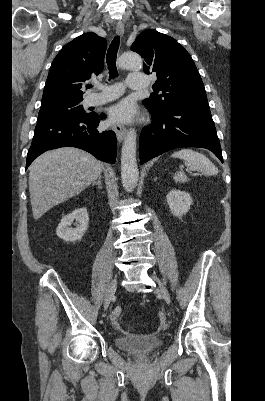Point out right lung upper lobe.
<instances>
[{
  "mask_svg": "<svg viewBox=\"0 0 265 401\" xmlns=\"http://www.w3.org/2000/svg\"><path fill=\"white\" fill-rule=\"evenodd\" d=\"M106 47V40L92 32L66 44L52 62L41 105L83 99L82 82L103 70Z\"/></svg>",
  "mask_w": 265,
  "mask_h": 401,
  "instance_id": "obj_1",
  "label": "right lung upper lobe"
}]
</instances>
